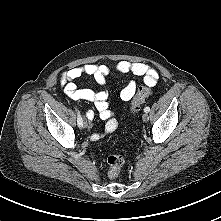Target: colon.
<instances>
[{"mask_svg":"<svg viewBox=\"0 0 221 221\" xmlns=\"http://www.w3.org/2000/svg\"><path fill=\"white\" fill-rule=\"evenodd\" d=\"M152 91L148 86H142L138 89L135 97L131 103V109L133 112L139 111L144 101L151 95ZM125 159L122 155L113 154L108 156L107 164L109 167L108 175L110 178L118 176L121 167L124 165Z\"/></svg>","mask_w":221,"mask_h":221,"instance_id":"5ec220e1","label":"colon"}]
</instances>
